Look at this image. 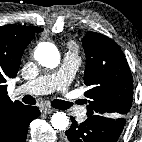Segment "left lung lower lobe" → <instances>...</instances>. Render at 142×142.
Here are the masks:
<instances>
[{"label":"left lung lower lobe","instance_id":"left-lung-lower-lobe-1","mask_svg":"<svg viewBox=\"0 0 142 142\" xmlns=\"http://www.w3.org/2000/svg\"><path fill=\"white\" fill-rule=\"evenodd\" d=\"M72 125L65 132V142H116L125 123V117L112 118L102 115L88 116L78 124L71 117Z\"/></svg>","mask_w":142,"mask_h":142}]
</instances>
